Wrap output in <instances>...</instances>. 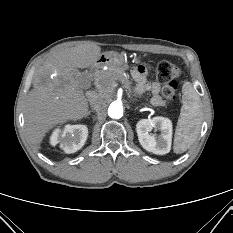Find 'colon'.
Instances as JSON below:
<instances>
[{"label":"colon","mask_w":233,"mask_h":233,"mask_svg":"<svg viewBox=\"0 0 233 233\" xmlns=\"http://www.w3.org/2000/svg\"><path fill=\"white\" fill-rule=\"evenodd\" d=\"M179 67L170 61H161L156 67V75L159 81L164 83L162 94L168 100L176 98L178 83L176 79L180 76Z\"/></svg>","instance_id":"1"}]
</instances>
